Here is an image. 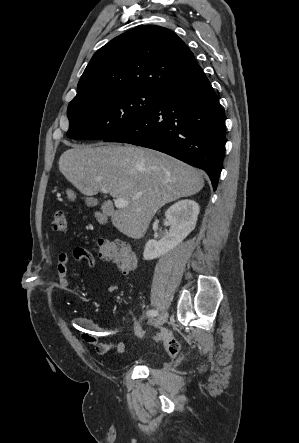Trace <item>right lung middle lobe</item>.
Wrapping results in <instances>:
<instances>
[{"label":"right lung middle lobe","instance_id":"1","mask_svg":"<svg viewBox=\"0 0 299 443\" xmlns=\"http://www.w3.org/2000/svg\"><path fill=\"white\" fill-rule=\"evenodd\" d=\"M159 92L145 89L116 90L72 102L67 115L71 139H105L149 112Z\"/></svg>","mask_w":299,"mask_h":443}]
</instances>
